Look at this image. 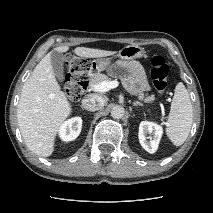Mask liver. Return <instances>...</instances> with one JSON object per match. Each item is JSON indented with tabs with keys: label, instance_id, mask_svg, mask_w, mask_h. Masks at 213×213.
<instances>
[{
	"label": "liver",
	"instance_id": "1",
	"mask_svg": "<svg viewBox=\"0 0 213 213\" xmlns=\"http://www.w3.org/2000/svg\"><path fill=\"white\" fill-rule=\"evenodd\" d=\"M68 50V46L54 49L60 53ZM74 53L84 58H99L115 52L77 47ZM70 113L71 104L55 78L49 52L24 83L17 108L18 125L30 151L41 157L50 156L56 135Z\"/></svg>",
	"mask_w": 213,
	"mask_h": 213
}]
</instances>
